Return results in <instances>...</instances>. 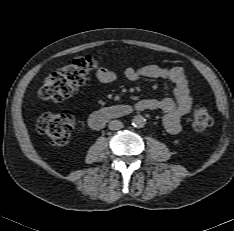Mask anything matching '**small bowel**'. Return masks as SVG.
Masks as SVG:
<instances>
[{
    "label": "small bowel",
    "mask_w": 234,
    "mask_h": 231,
    "mask_svg": "<svg viewBox=\"0 0 234 231\" xmlns=\"http://www.w3.org/2000/svg\"><path fill=\"white\" fill-rule=\"evenodd\" d=\"M97 78L102 83H113L117 76L107 69H99L96 72ZM129 81L136 82L142 78L162 79L174 85V98L165 99H142L136 102L135 108L138 111L161 110L165 113L163 126L170 134H177L182 127V118L190 111L192 97L188 80L182 67L163 68L150 64L139 68L130 67L125 71Z\"/></svg>",
    "instance_id": "obj_1"
}]
</instances>
